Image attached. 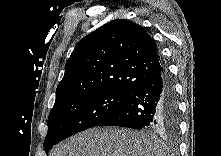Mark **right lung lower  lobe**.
I'll return each instance as SVG.
<instances>
[{
    "label": "right lung lower lobe",
    "mask_w": 221,
    "mask_h": 156,
    "mask_svg": "<svg viewBox=\"0 0 221 156\" xmlns=\"http://www.w3.org/2000/svg\"><path fill=\"white\" fill-rule=\"evenodd\" d=\"M179 123L177 96L164 68L143 82L130 97L97 126H121L134 129L170 130Z\"/></svg>",
    "instance_id": "right-lung-lower-lobe-1"
}]
</instances>
